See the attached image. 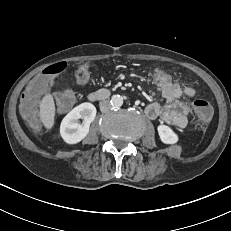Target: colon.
<instances>
[{"instance_id":"1","label":"colon","mask_w":231,"mask_h":231,"mask_svg":"<svg viewBox=\"0 0 231 231\" xmlns=\"http://www.w3.org/2000/svg\"><path fill=\"white\" fill-rule=\"evenodd\" d=\"M66 67L63 62L56 63L47 67L43 74H39L34 80H30L25 85V91L21 96L20 110L22 116L27 123L37 128L39 126V120L37 117V103L41 96L42 91H46L51 86L50 77L61 73ZM90 75V65L83 63L78 66L75 72V79L78 84H84L87 82ZM150 80L155 83L169 85L174 81L173 75L170 72L156 71L149 75ZM174 84H178V81H174ZM75 103V94L69 90H63L55 95V106L58 112L65 113L69 111ZM192 107L195 114L196 123L199 126H205L212 118L213 109L212 106L203 99H196L192 103Z\"/></svg>"}]
</instances>
